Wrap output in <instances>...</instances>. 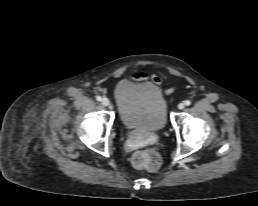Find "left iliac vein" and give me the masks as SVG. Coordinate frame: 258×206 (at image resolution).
Wrapping results in <instances>:
<instances>
[{"mask_svg":"<svg viewBox=\"0 0 258 206\" xmlns=\"http://www.w3.org/2000/svg\"><path fill=\"white\" fill-rule=\"evenodd\" d=\"M184 107H185V103H183V102L179 103V105H178L179 109H184Z\"/></svg>","mask_w":258,"mask_h":206,"instance_id":"1","label":"left iliac vein"}]
</instances>
